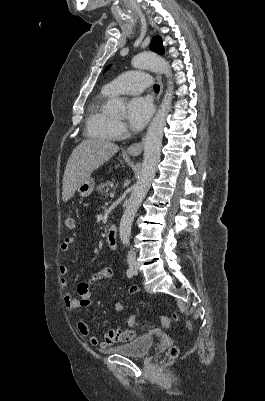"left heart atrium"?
I'll use <instances>...</instances> for the list:
<instances>
[{
	"label": "left heart atrium",
	"instance_id": "39dd6f15",
	"mask_svg": "<svg viewBox=\"0 0 265 401\" xmlns=\"http://www.w3.org/2000/svg\"><path fill=\"white\" fill-rule=\"evenodd\" d=\"M152 114L150 101L142 97H134L127 106V119L135 130L141 129L149 120Z\"/></svg>",
	"mask_w": 265,
	"mask_h": 401
}]
</instances>
